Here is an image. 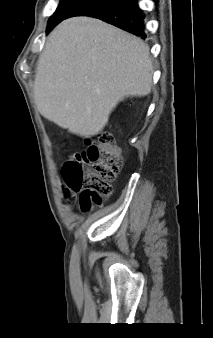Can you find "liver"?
Instances as JSON below:
<instances>
[{"label":"liver","instance_id":"6515ba94","mask_svg":"<svg viewBox=\"0 0 213 338\" xmlns=\"http://www.w3.org/2000/svg\"><path fill=\"white\" fill-rule=\"evenodd\" d=\"M149 47L138 37L90 17L60 23L49 35L34 80L39 113L90 137L106 126L125 97L152 88Z\"/></svg>","mask_w":213,"mask_h":338}]
</instances>
